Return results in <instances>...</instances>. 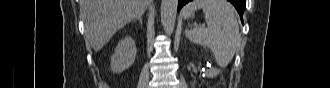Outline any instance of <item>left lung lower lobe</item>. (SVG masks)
Here are the masks:
<instances>
[{
  "instance_id": "left-lung-lower-lobe-1",
  "label": "left lung lower lobe",
  "mask_w": 330,
  "mask_h": 88,
  "mask_svg": "<svg viewBox=\"0 0 330 88\" xmlns=\"http://www.w3.org/2000/svg\"><path fill=\"white\" fill-rule=\"evenodd\" d=\"M191 0H179L178 2V11L183 7V5H185L186 3L190 2ZM229 2H231L235 8L237 9L239 15H240V18H241V21L243 23V12L245 9H243L242 7V4L246 3V0H228Z\"/></svg>"
}]
</instances>
